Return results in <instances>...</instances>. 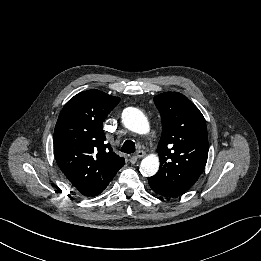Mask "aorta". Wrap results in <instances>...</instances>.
I'll return each instance as SVG.
<instances>
[{"label":"aorta","mask_w":261,"mask_h":261,"mask_svg":"<svg viewBox=\"0 0 261 261\" xmlns=\"http://www.w3.org/2000/svg\"><path fill=\"white\" fill-rule=\"evenodd\" d=\"M122 122L132 132L138 134H147L149 132V122L143 112L137 108H125L122 113ZM159 165L157 155H148L140 163V172L147 177L153 176L158 172Z\"/></svg>","instance_id":"obj_1"}]
</instances>
